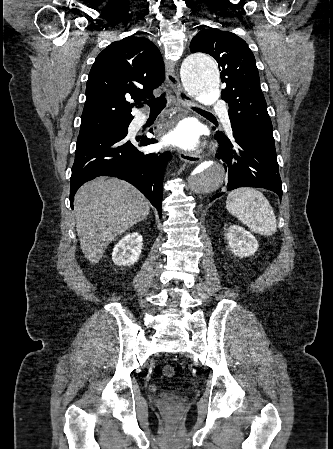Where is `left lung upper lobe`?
<instances>
[{
    "label": "left lung upper lobe",
    "mask_w": 333,
    "mask_h": 449,
    "mask_svg": "<svg viewBox=\"0 0 333 449\" xmlns=\"http://www.w3.org/2000/svg\"><path fill=\"white\" fill-rule=\"evenodd\" d=\"M190 49L207 53L218 62L226 84L221 98L229 105L232 130H250L274 141L255 57L247 43L234 33L210 28L193 37Z\"/></svg>",
    "instance_id": "obj_1"
}]
</instances>
